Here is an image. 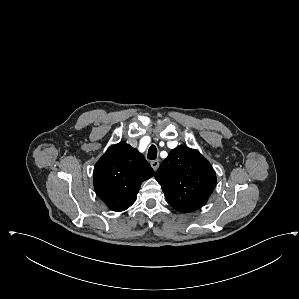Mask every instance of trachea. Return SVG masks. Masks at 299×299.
Masks as SVG:
<instances>
[{
  "instance_id": "trachea-1",
  "label": "trachea",
  "mask_w": 299,
  "mask_h": 299,
  "mask_svg": "<svg viewBox=\"0 0 299 299\" xmlns=\"http://www.w3.org/2000/svg\"><path fill=\"white\" fill-rule=\"evenodd\" d=\"M147 158L150 160H155L157 158V148L154 145L149 147Z\"/></svg>"
}]
</instances>
